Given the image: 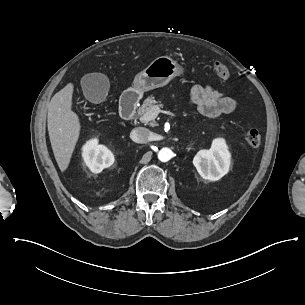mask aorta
<instances>
[{
    "label": "aorta",
    "mask_w": 305,
    "mask_h": 305,
    "mask_svg": "<svg viewBox=\"0 0 305 305\" xmlns=\"http://www.w3.org/2000/svg\"><path fill=\"white\" fill-rule=\"evenodd\" d=\"M173 156V152L171 151V149L164 147L161 150H159L158 152V159L161 162H167L169 161Z\"/></svg>",
    "instance_id": "obj_1"
}]
</instances>
